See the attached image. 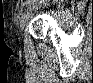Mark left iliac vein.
<instances>
[{"label": "left iliac vein", "mask_w": 93, "mask_h": 83, "mask_svg": "<svg viewBox=\"0 0 93 83\" xmlns=\"http://www.w3.org/2000/svg\"><path fill=\"white\" fill-rule=\"evenodd\" d=\"M33 9H28L21 17L20 20V28L21 30L25 27L26 23L28 22V19L31 17L33 14Z\"/></svg>", "instance_id": "left-iliac-vein-1"}]
</instances>
